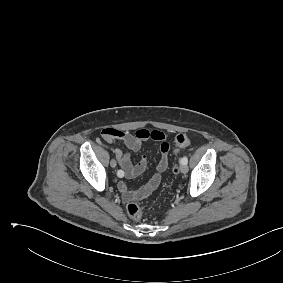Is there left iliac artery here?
Instances as JSON below:
<instances>
[{"mask_svg":"<svg viewBox=\"0 0 283 283\" xmlns=\"http://www.w3.org/2000/svg\"><path fill=\"white\" fill-rule=\"evenodd\" d=\"M188 163V158L186 156H184L182 159H181V164H187Z\"/></svg>","mask_w":283,"mask_h":283,"instance_id":"1","label":"left iliac artery"}]
</instances>
